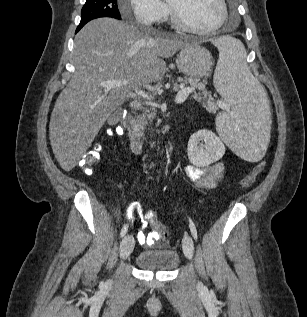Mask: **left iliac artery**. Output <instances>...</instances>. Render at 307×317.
<instances>
[{
  "label": "left iliac artery",
  "mask_w": 307,
  "mask_h": 317,
  "mask_svg": "<svg viewBox=\"0 0 307 317\" xmlns=\"http://www.w3.org/2000/svg\"><path fill=\"white\" fill-rule=\"evenodd\" d=\"M189 226H190V231L192 236L194 237L195 240H197V230H196L195 224L190 218H189Z\"/></svg>",
  "instance_id": "1"
}]
</instances>
